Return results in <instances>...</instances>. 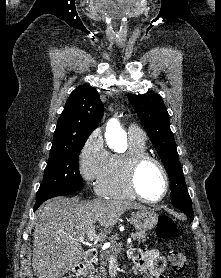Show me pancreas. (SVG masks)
Wrapping results in <instances>:
<instances>
[{
    "label": "pancreas",
    "instance_id": "pancreas-1",
    "mask_svg": "<svg viewBox=\"0 0 221 278\" xmlns=\"http://www.w3.org/2000/svg\"><path fill=\"white\" fill-rule=\"evenodd\" d=\"M146 236L147 234H145L144 232H136L131 234L133 240L138 241L139 244L146 240ZM117 239H118L117 236H113L112 238H110L112 245L108 250L101 253V262H100L101 267L99 268L98 271L96 270L97 274H95V271H93L94 268L92 266L88 267L89 278H102V277L106 278L105 276L107 273L104 267L107 266L108 262L110 261L113 255H117L122 250V244L116 243Z\"/></svg>",
    "mask_w": 221,
    "mask_h": 278
}]
</instances>
